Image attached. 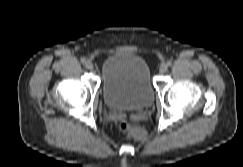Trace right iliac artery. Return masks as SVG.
Wrapping results in <instances>:
<instances>
[{
  "instance_id": "right-iliac-artery-1",
  "label": "right iliac artery",
  "mask_w": 243,
  "mask_h": 167,
  "mask_svg": "<svg viewBox=\"0 0 243 167\" xmlns=\"http://www.w3.org/2000/svg\"><path fill=\"white\" fill-rule=\"evenodd\" d=\"M81 63L85 64L86 63V58H81Z\"/></svg>"
}]
</instances>
